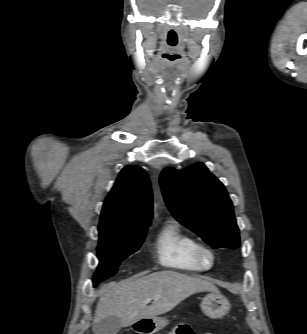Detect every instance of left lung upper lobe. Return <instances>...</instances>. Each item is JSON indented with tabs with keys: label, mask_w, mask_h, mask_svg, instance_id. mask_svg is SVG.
Segmentation results:
<instances>
[{
	"label": "left lung upper lobe",
	"mask_w": 307,
	"mask_h": 334,
	"mask_svg": "<svg viewBox=\"0 0 307 334\" xmlns=\"http://www.w3.org/2000/svg\"><path fill=\"white\" fill-rule=\"evenodd\" d=\"M160 185L169 210L182 225L213 248L239 245L233 204L224 185L203 163L184 170L165 168Z\"/></svg>",
	"instance_id": "left-lung-upper-lobe-1"
}]
</instances>
